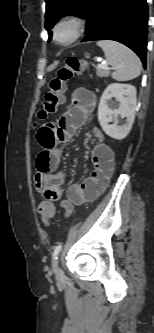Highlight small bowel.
<instances>
[{
	"label": "small bowel",
	"mask_w": 154,
	"mask_h": 333,
	"mask_svg": "<svg viewBox=\"0 0 154 333\" xmlns=\"http://www.w3.org/2000/svg\"><path fill=\"white\" fill-rule=\"evenodd\" d=\"M71 103L56 125L45 123L37 130V140L42 149L37 155L34 179L36 190L47 201L59 202L67 215L75 205L93 201L105 191L115 166L114 154L106 143L105 134L98 127H92L95 141L91 153L93 170L83 181L70 185L63 198L64 175L59 171L60 145L68 142L86 124L95 108L96 96L89 89L77 88Z\"/></svg>",
	"instance_id": "small-bowel-1"
}]
</instances>
